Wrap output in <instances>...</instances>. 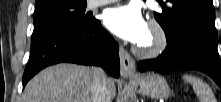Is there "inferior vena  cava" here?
<instances>
[{"label":"inferior vena cava","instance_id":"obj_1","mask_svg":"<svg viewBox=\"0 0 221 102\" xmlns=\"http://www.w3.org/2000/svg\"><path fill=\"white\" fill-rule=\"evenodd\" d=\"M92 102H111L109 94V80L105 71L100 67H95L93 70Z\"/></svg>","mask_w":221,"mask_h":102}]
</instances>
